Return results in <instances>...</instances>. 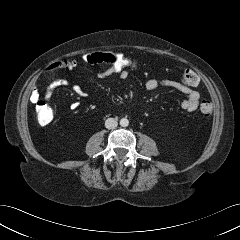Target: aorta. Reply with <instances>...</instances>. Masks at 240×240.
<instances>
[{"label":"aorta","instance_id":"aorta-1","mask_svg":"<svg viewBox=\"0 0 240 240\" xmlns=\"http://www.w3.org/2000/svg\"><path fill=\"white\" fill-rule=\"evenodd\" d=\"M120 125H121L122 127H127V126L129 125V120H128L127 118H122V119L120 120Z\"/></svg>","mask_w":240,"mask_h":240}]
</instances>
